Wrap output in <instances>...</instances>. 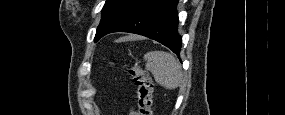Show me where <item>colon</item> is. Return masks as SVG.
<instances>
[{
    "label": "colon",
    "mask_w": 285,
    "mask_h": 115,
    "mask_svg": "<svg viewBox=\"0 0 285 115\" xmlns=\"http://www.w3.org/2000/svg\"><path fill=\"white\" fill-rule=\"evenodd\" d=\"M126 71L137 87L138 114L152 115L154 84L149 74L137 65H126Z\"/></svg>",
    "instance_id": "obj_1"
}]
</instances>
